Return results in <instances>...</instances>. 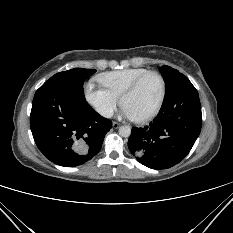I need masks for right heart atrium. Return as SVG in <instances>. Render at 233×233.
<instances>
[{
    "label": "right heart atrium",
    "mask_w": 233,
    "mask_h": 233,
    "mask_svg": "<svg viewBox=\"0 0 233 233\" xmlns=\"http://www.w3.org/2000/svg\"><path fill=\"white\" fill-rule=\"evenodd\" d=\"M84 94L90 106L102 117L109 118L118 105V97L104 87L90 81L85 85Z\"/></svg>",
    "instance_id": "right-heart-atrium-1"
}]
</instances>
